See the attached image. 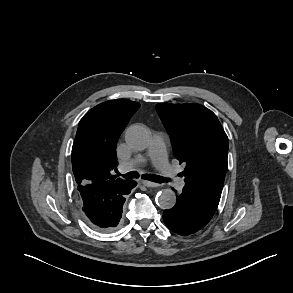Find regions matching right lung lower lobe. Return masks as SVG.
Segmentation results:
<instances>
[{
  "instance_id": "obj_1",
  "label": "right lung lower lobe",
  "mask_w": 293,
  "mask_h": 293,
  "mask_svg": "<svg viewBox=\"0 0 293 293\" xmlns=\"http://www.w3.org/2000/svg\"><path fill=\"white\" fill-rule=\"evenodd\" d=\"M136 184L133 180H126L121 183L78 185L82 210L89 223L103 231H111L119 226L125 197Z\"/></svg>"
}]
</instances>
